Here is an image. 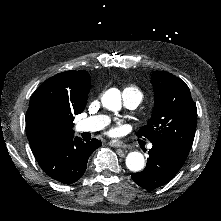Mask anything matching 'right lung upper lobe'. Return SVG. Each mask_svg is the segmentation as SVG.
<instances>
[{"mask_svg":"<svg viewBox=\"0 0 221 221\" xmlns=\"http://www.w3.org/2000/svg\"><path fill=\"white\" fill-rule=\"evenodd\" d=\"M90 80L84 70L66 71L44 81L33 93L26 113V133L34 155L74 134L66 132L58 139L50 137L42 130L40 112L49 109L73 117L81 113L86 106Z\"/></svg>","mask_w":221,"mask_h":221,"instance_id":"1","label":"right lung upper lobe"}]
</instances>
